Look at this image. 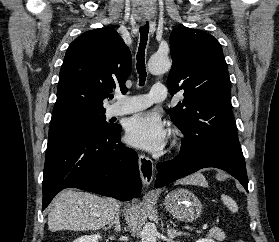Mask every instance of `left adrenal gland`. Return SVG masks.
Here are the masks:
<instances>
[{"label": "left adrenal gland", "instance_id": "left-adrenal-gland-1", "mask_svg": "<svg viewBox=\"0 0 279 242\" xmlns=\"http://www.w3.org/2000/svg\"><path fill=\"white\" fill-rule=\"evenodd\" d=\"M167 233H168L169 239H173L179 235H188V233H186V232L177 231L176 229L171 228L169 224L167 225Z\"/></svg>", "mask_w": 279, "mask_h": 242}]
</instances>
